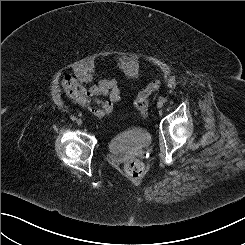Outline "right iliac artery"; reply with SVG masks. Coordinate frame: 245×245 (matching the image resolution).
<instances>
[{"label":"right iliac artery","instance_id":"obj_1","mask_svg":"<svg viewBox=\"0 0 245 245\" xmlns=\"http://www.w3.org/2000/svg\"><path fill=\"white\" fill-rule=\"evenodd\" d=\"M71 120H72V121H76L77 118H76L75 116H72V117H71Z\"/></svg>","mask_w":245,"mask_h":245}]
</instances>
